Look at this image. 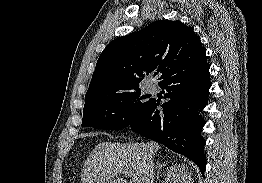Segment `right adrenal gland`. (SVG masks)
I'll use <instances>...</instances> for the list:
<instances>
[{
    "mask_svg": "<svg viewBox=\"0 0 262 183\" xmlns=\"http://www.w3.org/2000/svg\"><path fill=\"white\" fill-rule=\"evenodd\" d=\"M167 163H160L159 161H157V180H159V173H160V170L162 168H164L166 166ZM157 183V182H156Z\"/></svg>",
    "mask_w": 262,
    "mask_h": 183,
    "instance_id": "right-adrenal-gland-1",
    "label": "right adrenal gland"
}]
</instances>
